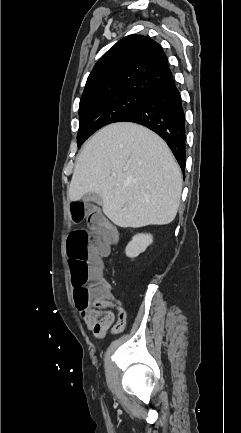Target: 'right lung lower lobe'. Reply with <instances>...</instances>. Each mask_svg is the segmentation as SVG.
<instances>
[{
    "instance_id": "1",
    "label": "right lung lower lobe",
    "mask_w": 241,
    "mask_h": 433,
    "mask_svg": "<svg viewBox=\"0 0 241 433\" xmlns=\"http://www.w3.org/2000/svg\"><path fill=\"white\" fill-rule=\"evenodd\" d=\"M122 121L141 124L161 136L184 170L185 115L181 96L173 78L148 90L143 103Z\"/></svg>"
}]
</instances>
